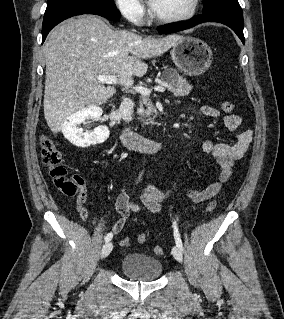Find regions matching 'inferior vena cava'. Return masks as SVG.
Returning a JSON list of instances; mask_svg holds the SVG:
<instances>
[{"mask_svg":"<svg viewBox=\"0 0 284 319\" xmlns=\"http://www.w3.org/2000/svg\"><path fill=\"white\" fill-rule=\"evenodd\" d=\"M134 103L129 98H123L119 112L121 113L125 121H130L132 119Z\"/></svg>","mask_w":284,"mask_h":319,"instance_id":"obj_1","label":"inferior vena cava"}]
</instances>
